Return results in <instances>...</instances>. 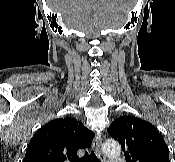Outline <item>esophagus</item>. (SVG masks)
I'll use <instances>...</instances> for the list:
<instances>
[{"label":"esophagus","mask_w":175,"mask_h":162,"mask_svg":"<svg viewBox=\"0 0 175 162\" xmlns=\"http://www.w3.org/2000/svg\"><path fill=\"white\" fill-rule=\"evenodd\" d=\"M101 145H102L101 136H97L93 140V148H94V151H95L97 157L99 158L100 162H105V156L102 152Z\"/></svg>","instance_id":"1"}]
</instances>
